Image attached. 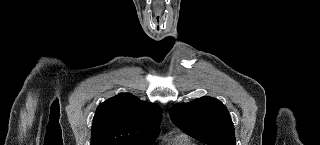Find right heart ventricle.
<instances>
[{
  "label": "right heart ventricle",
  "mask_w": 320,
  "mask_h": 145,
  "mask_svg": "<svg viewBox=\"0 0 320 145\" xmlns=\"http://www.w3.org/2000/svg\"><path fill=\"white\" fill-rule=\"evenodd\" d=\"M164 145H196L186 134L179 133L165 141Z\"/></svg>",
  "instance_id": "e07e8e85"
}]
</instances>
